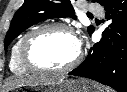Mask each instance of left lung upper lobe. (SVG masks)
Masks as SVG:
<instances>
[{
    "instance_id": "5c2ea615",
    "label": "left lung upper lobe",
    "mask_w": 127,
    "mask_h": 92,
    "mask_svg": "<svg viewBox=\"0 0 127 92\" xmlns=\"http://www.w3.org/2000/svg\"><path fill=\"white\" fill-rule=\"evenodd\" d=\"M113 0H94L106 6ZM72 17L75 18L74 9L70 0H25L24 4L16 11L5 38L4 47L8 45L24 30L30 26L50 18ZM88 32L94 31L93 26L88 27Z\"/></svg>"
}]
</instances>
